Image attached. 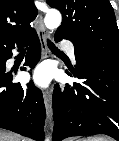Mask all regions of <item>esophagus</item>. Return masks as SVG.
<instances>
[{
    "instance_id": "obj_1",
    "label": "esophagus",
    "mask_w": 119,
    "mask_h": 141,
    "mask_svg": "<svg viewBox=\"0 0 119 141\" xmlns=\"http://www.w3.org/2000/svg\"><path fill=\"white\" fill-rule=\"evenodd\" d=\"M37 33L41 44L42 58L43 59L48 58L50 57V51L48 49L46 42L47 33L43 23V17L41 14H39L37 17ZM44 103H45L46 114H47V123L51 126L53 110H52V98L49 90H46L44 92Z\"/></svg>"
}]
</instances>
